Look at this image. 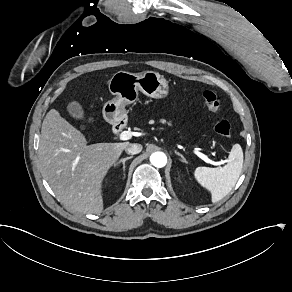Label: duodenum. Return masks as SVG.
Returning <instances> with one entry per match:
<instances>
[{
    "instance_id": "410a0bca",
    "label": "duodenum",
    "mask_w": 292,
    "mask_h": 292,
    "mask_svg": "<svg viewBox=\"0 0 292 292\" xmlns=\"http://www.w3.org/2000/svg\"><path fill=\"white\" fill-rule=\"evenodd\" d=\"M122 131V127L121 126H115L114 128H113V132L115 133V134H118V133H120Z\"/></svg>"
}]
</instances>
